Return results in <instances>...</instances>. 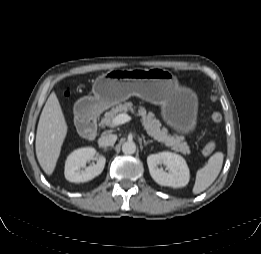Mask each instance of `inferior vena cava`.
<instances>
[{"instance_id":"obj_1","label":"inferior vena cava","mask_w":261,"mask_h":254,"mask_svg":"<svg viewBox=\"0 0 261 254\" xmlns=\"http://www.w3.org/2000/svg\"><path fill=\"white\" fill-rule=\"evenodd\" d=\"M117 140V136L115 134H102L98 139V144L100 147H108L112 146Z\"/></svg>"}]
</instances>
